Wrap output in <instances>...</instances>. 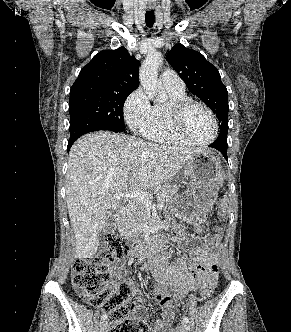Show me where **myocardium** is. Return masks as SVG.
I'll use <instances>...</instances> for the list:
<instances>
[{
  "label": "myocardium",
  "mask_w": 291,
  "mask_h": 332,
  "mask_svg": "<svg viewBox=\"0 0 291 332\" xmlns=\"http://www.w3.org/2000/svg\"><path fill=\"white\" fill-rule=\"evenodd\" d=\"M194 107H200L204 109L209 114L213 122L214 133L213 136L208 140H196L186 130L185 122L187 113ZM169 113L174 130L188 142L195 145H208L216 140L219 132L218 121L214 112L206 104L192 99H186L172 104L170 106Z\"/></svg>",
  "instance_id": "obj_1"
}]
</instances>
